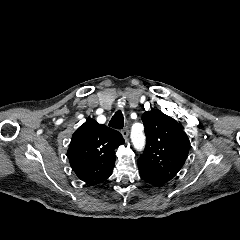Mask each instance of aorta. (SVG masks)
<instances>
[{
    "mask_svg": "<svg viewBox=\"0 0 240 240\" xmlns=\"http://www.w3.org/2000/svg\"><path fill=\"white\" fill-rule=\"evenodd\" d=\"M132 142L134 147L137 150H141L144 147V142H145V138H144V134L142 132V129L138 130L135 127L132 129Z\"/></svg>",
    "mask_w": 240,
    "mask_h": 240,
    "instance_id": "obj_1",
    "label": "aorta"
}]
</instances>
